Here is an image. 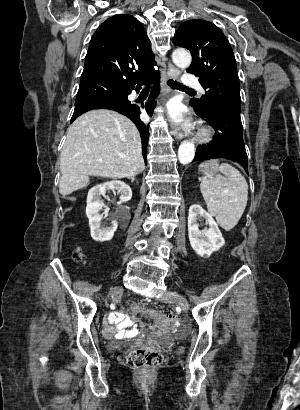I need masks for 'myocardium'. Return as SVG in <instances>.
Segmentation results:
<instances>
[{"label": "myocardium", "instance_id": "1", "mask_svg": "<svg viewBox=\"0 0 300 410\" xmlns=\"http://www.w3.org/2000/svg\"><path fill=\"white\" fill-rule=\"evenodd\" d=\"M212 132L209 128H202L198 132V140L200 141H208L211 138Z\"/></svg>", "mask_w": 300, "mask_h": 410}]
</instances>
